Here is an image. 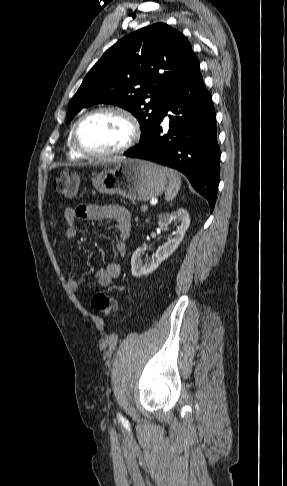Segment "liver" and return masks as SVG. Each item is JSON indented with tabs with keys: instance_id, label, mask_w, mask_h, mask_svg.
Returning a JSON list of instances; mask_svg holds the SVG:
<instances>
[{
	"instance_id": "liver-1",
	"label": "liver",
	"mask_w": 287,
	"mask_h": 486,
	"mask_svg": "<svg viewBox=\"0 0 287 486\" xmlns=\"http://www.w3.org/2000/svg\"><path fill=\"white\" fill-rule=\"evenodd\" d=\"M119 159H124V158H115L114 160H119Z\"/></svg>"
}]
</instances>
